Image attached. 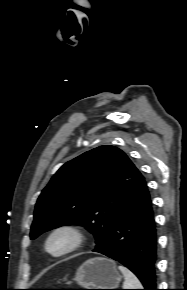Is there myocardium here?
Wrapping results in <instances>:
<instances>
[{"label": "myocardium", "instance_id": "obj_1", "mask_svg": "<svg viewBox=\"0 0 187 290\" xmlns=\"http://www.w3.org/2000/svg\"><path fill=\"white\" fill-rule=\"evenodd\" d=\"M57 237H64L66 244L60 250L54 251L50 245ZM84 241L85 233L79 226L75 224H61L51 229L48 233L44 242V249L51 257L59 258L79 249L84 244Z\"/></svg>", "mask_w": 187, "mask_h": 290}]
</instances>
